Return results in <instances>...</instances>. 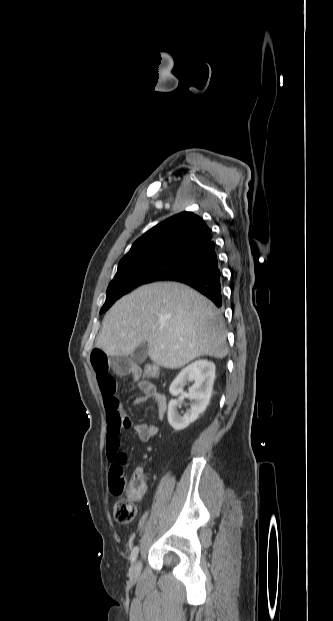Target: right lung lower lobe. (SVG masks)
<instances>
[{"instance_id":"98d812e1","label":"right lung lower lobe","mask_w":333,"mask_h":621,"mask_svg":"<svg viewBox=\"0 0 333 621\" xmlns=\"http://www.w3.org/2000/svg\"><path fill=\"white\" fill-rule=\"evenodd\" d=\"M221 270L213 240L186 257L179 267L163 280L189 285L222 306Z\"/></svg>"}]
</instances>
